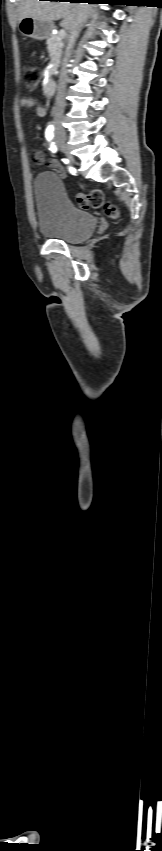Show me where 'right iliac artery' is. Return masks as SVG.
<instances>
[{"instance_id": "right-iliac-artery-1", "label": "right iliac artery", "mask_w": 162, "mask_h": 851, "mask_svg": "<svg viewBox=\"0 0 162 851\" xmlns=\"http://www.w3.org/2000/svg\"><path fill=\"white\" fill-rule=\"evenodd\" d=\"M53 131H54V127H53L52 125H49V126L46 128V131H45V137H46L47 141H49V142H51V141H52V139H53V137H54V132H53ZM50 150H51L52 152H56V151H57V147H56V145L54 144V142H51V144H50ZM78 188H79L80 190H82L84 187H83L82 185H80ZM83 194L86 196L88 193L85 191Z\"/></svg>"}]
</instances>
